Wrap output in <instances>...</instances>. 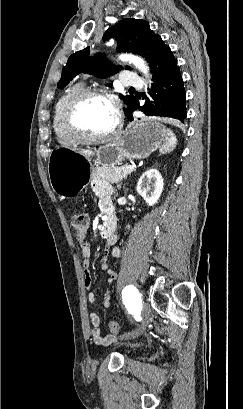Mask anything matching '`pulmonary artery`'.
Masks as SVG:
<instances>
[{
    "label": "pulmonary artery",
    "mask_w": 243,
    "mask_h": 409,
    "mask_svg": "<svg viewBox=\"0 0 243 409\" xmlns=\"http://www.w3.org/2000/svg\"><path fill=\"white\" fill-rule=\"evenodd\" d=\"M124 86L141 87L143 85L142 79L133 72H125L121 79Z\"/></svg>",
    "instance_id": "obj_1"
}]
</instances>
